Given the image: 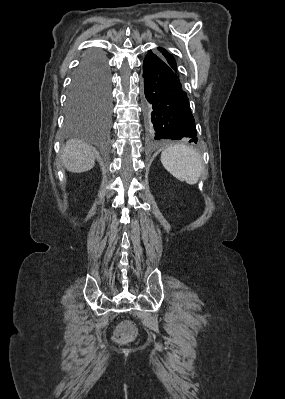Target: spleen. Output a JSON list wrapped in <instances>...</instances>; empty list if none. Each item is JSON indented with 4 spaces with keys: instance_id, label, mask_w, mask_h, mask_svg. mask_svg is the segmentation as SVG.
<instances>
[{
    "instance_id": "spleen-1",
    "label": "spleen",
    "mask_w": 285,
    "mask_h": 399,
    "mask_svg": "<svg viewBox=\"0 0 285 399\" xmlns=\"http://www.w3.org/2000/svg\"><path fill=\"white\" fill-rule=\"evenodd\" d=\"M161 163L174 177L190 185L198 182L203 171L201 155L184 144H176L165 149L161 154Z\"/></svg>"
}]
</instances>
